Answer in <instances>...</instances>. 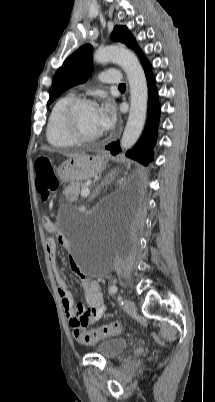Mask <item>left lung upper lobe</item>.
Segmentation results:
<instances>
[{"instance_id":"5c2ea615","label":"left lung upper lobe","mask_w":215,"mask_h":402,"mask_svg":"<svg viewBox=\"0 0 215 402\" xmlns=\"http://www.w3.org/2000/svg\"><path fill=\"white\" fill-rule=\"evenodd\" d=\"M111 38L135 50L142 64L147 60L127 27L116 26L111 34ZM91 60L92 46L87 44L79 48L64 61L53 79L48 105L68 88L81 84L88 79L91 73Z\"/></svg>"}]
</instances>
